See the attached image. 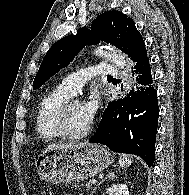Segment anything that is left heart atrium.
Here are the masks:
<instances>
[{"label": "left heart atrium", "mask_w": 189, "mask_h": 195, "mask_svg": "<svg viewBox=\"0 0 189 195\" xmlns=\"http://www.w3.org/2000/svg\"><path fill=\"white\" fill-rule=\"evenodd\" d=\"M85 113L90 121L93 120L99 108V99L97 96H93L90 100L83 104Z\"/></svg>", "instance_id": "39dd6f15"}]
</instances>
